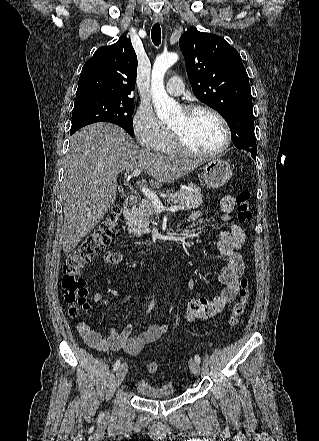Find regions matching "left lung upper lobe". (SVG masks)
Instances as JSON below:
<instances>
[{"label": "left lung upper lobe", "instance_id": "obj_1", "mask_svg": "<svg viewBox=\"0 0 319 441\" xmlns=\"http://www.w3.org/2000/svg\"><path fill=\"white\" fill-rule=\"evenodd\" d=\"M192 90L227 121L234 145L256 156L249 78L240 54L220 36L188 29L179 39Z\"/></svg>", "mask_w": 319, "mask_h": 441}]
</instances>
